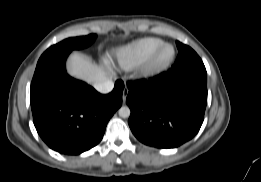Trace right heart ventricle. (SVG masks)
Segmentation results:
<instances>
[{"label": "right heart ventricle", "mask_w": 261, "mask_h": 182, "mask_svg": "<svg viewBox=\"0 0 261 182\" xmlns=\"http://www.w3.org/2000/svg\"><path fill=\"white\" fill-rule=\"evenodd\" d=\"M164 42L159 38H141L121 48L117 52V60L125 69L135 68L145 62Z\"/></svg>", "instance_id": "right-heart-ventricle-1"}]
</instances>
